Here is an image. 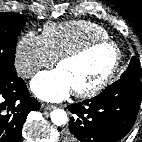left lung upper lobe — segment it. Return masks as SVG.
<instances>
[{"instance_id": "5c2ea615", "label": "left lung upper lobe", "mask_w": 142, "mask_h": 142, "mask_svg": "<svg viewBox=\"0 0 142 142\" xmlns=\"http://www.w3.org/2000/svg\"><path fill=\"white\" fill-rule=\"evenodd\" d=\"M130 76H137V77L142 76L139 63L135 57L131 59V62L127 70L121 75L120 79L130 77Z\"/></svg>"}]
</instances>
